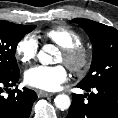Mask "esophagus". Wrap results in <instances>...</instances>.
<instances>
[{
  "label": "esophagus",
  "instance_id": "obj_1",
  "mask_svg": "<svg viewBox=\"0 0 118 118\" xmlns=\"http://www.w3.org/2000/svg\"><path fill=\"white\" fill-rule=\"evenodd\" d=\"M38 96L39 97H49V96H53V93H49V92H45V91H38Z\"/></svg>",
  "mask_w": 118,
  "mask_h": 118
}]
</instances>
